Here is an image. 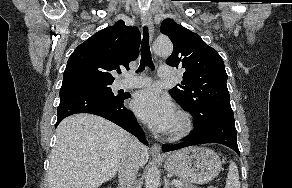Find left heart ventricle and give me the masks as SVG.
<instances>
[{
  "label": "left heart ventricle",
  "instance_id": "b2bd125f",
  "mask_svg": "<svg viewBox=\"0 0 292 188\" xmlns=\"http://www.w3.org/2000/svg\"><path fill=\"white\" fill-rule=\"evenodd\" d=\"M178 125H179V121H178L177 116H176V118H175V120H174V122L169 130L175 129L176 127H178Z\"/></svg>",
  "mask_w": 292,
  "mask_h": 188
}]
</instances>
